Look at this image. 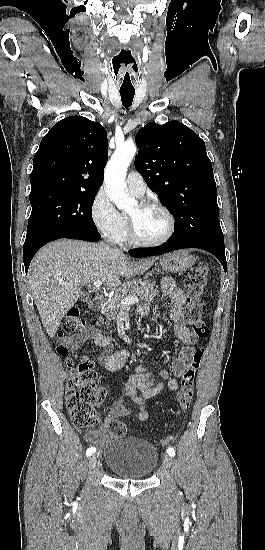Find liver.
<instances>
[{
	"label": "liver",
	"instance_id": "1",
	"mask_svg": "<svg viewBox=\"0 0 265 550\" xmlns=\"http://www.w3.org/2000/svg\"><path fill=\"white\" fill-rule=\"evenodd\" d=\"M154 261H132L104 243L60 239L44 246L30 264L28 279L47 334L55 336L84 285L101 280L108 289L119 291L120 277L143 273Z\"/></svg>",
	"mask_w": 265,
	"mask_h": 550
}]
</instances>
